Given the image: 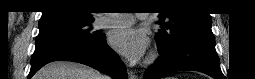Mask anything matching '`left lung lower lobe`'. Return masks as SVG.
Masks as SVG:
<instances>
[{
	"mask_svg": "<svg viewBox=\"0 0 255 79\" xmlns=\"http://www.w3.org/2000/svg\"><path fill=\"white\" fill-rule=\"evenodd\" d=\"M144 74V79H160L181 70L203 72L215 79H224L215 50L214 37L186 38L166 52Z\"/></svg>",
	"mask_w": 255,
	"mask_h": 79,
	"instance_id": "left-lung-lower-lobe-1",
	"label": "left lung lower lobe"
}]
</instances>
